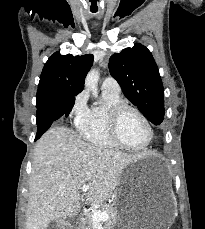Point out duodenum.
<instances>
[{"mask_svg":"<svg viewBox=\"0 0 205 229\" xmlns=\"http://www.w3.org/2000/svg\"><path fill=\"white\" fill-rule=\"evenodd\" d=\"M79 221H80V219L79 218H76V219L73 220V223L74 224H77V223H79Z\"/></svg>","mask_w":205,"mask_h":229,"instance_id":"duodenum-1","label":"duodenum"}]
</instances>
